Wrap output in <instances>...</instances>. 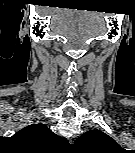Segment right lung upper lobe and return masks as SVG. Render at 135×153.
<instances>
[{"mask_svg":"<svg viewBox=\"0 0 135 153\" xmlns=\"http://www.w3.org/2000/svg\"><path fill=\"white\" fill-rule=\"evenodd\" d=\"M14 137L36 147H46L58 142H67L43 124H32L18 131Z\"/></svg>","mask_w":135,"mask_h":153,"instance_id":"cb5924a9","label":"right lung upper lobe"}]
</instances>
